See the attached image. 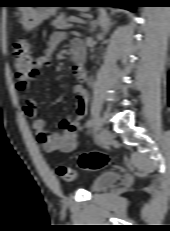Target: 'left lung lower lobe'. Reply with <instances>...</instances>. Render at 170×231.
<instances>
[{
  "label": "left lung lower lobe",
  "instance_id": "0a47b994",
  "mask_svg": "<svg viewBox=\"0 0 170 231\" xmlns=\"http://www.w3.org/2000/svg\"><path fill=\"white\" fill-rule=\"evenodd\" d=\"M107 5H104V6H110V4H112L113 2H125L126 5L124 6H119L121 8H125V9H128L130 11H135V7H138V3L139 1L138 0H106Z\"/></svg>",
  "mask_w": 170,
  "mask_h": 231
}]
</instances>
